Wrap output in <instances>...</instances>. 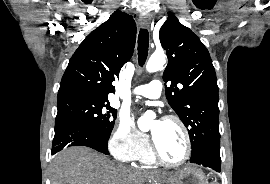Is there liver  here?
<instances>
[{
	"mask_svg": "<svg viewBox=\"0 0 270 184\" xmlns=\"http://www.w3.org/2000/svg\"><path fill=\"white\" fill-rule=\"evenodd\" d=\"M151 176L115 165L87 147H69L58 153L51 166L52 184H143Z\"/></svg>",
	"mask_w": 270,
	"mask_h": 184,
	"instance_id": "obj_1",
	"label": "liver"
}]
</instances>
